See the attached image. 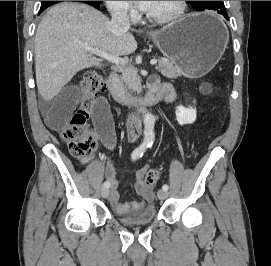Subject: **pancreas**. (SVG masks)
Masks as SVG:
<instances>
[{
	"mask_svg": "<svg viewBox=\"0 0 271 266\" xmlns=\"http://www.w3.org/2000/svg\"><path fill=\"white\" fill-rule=\"evenodd\" d=\"M158 62L159 63L156 66V70L161 72L163 76L167 78H177L182 75V70L179 68L175 61L166 58H159ZM122 79L129 90L132 91L141 90L140 84L141 80L135 68L133 67L124 68Z\"/></svg>",
	"mask_w": 271,
	"mask_h": 266,
	"instance_id": "obj_1",
	"label": "pancreas"
}]
</instances>
